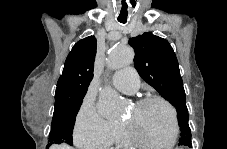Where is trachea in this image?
Here are the masks:
<instances>
[{
    "label": "trachea",
    "mask_w": 227,
    "mask_h": 149,
    "mask_svg": "<svg viewBox=\"0 0 227 149\" xmlns=\"http://www.w3.org/2000/svg\"><path fill=\"white\" fill-rule=\"evenodd\" d=\"M119 22L122 23V24H125L126 23L125 20H119Z\"/></svg>",
    "instance_id": "1"
}]
</instances>
